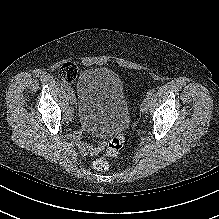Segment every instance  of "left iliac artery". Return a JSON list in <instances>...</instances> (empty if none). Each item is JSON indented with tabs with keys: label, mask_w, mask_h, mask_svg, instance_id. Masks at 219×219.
<instances>
[{
	"label": "left iliac artery",
	"mask_w": 219,
	"mask_h": 219,
	"mask_svg": "<svg viewBox=\"0 0 219 219\" xmlns=\"http://www.w3.org/2000/svg\"><path fill=\"white\" fill-rule=\"evenodd\" d=\"M152 94H153V90H149L148 92H147V94H146V99H150L151 98V96H152Z\"/></svg>",
	"instance_id": "44dca946"
}]
</instances>
